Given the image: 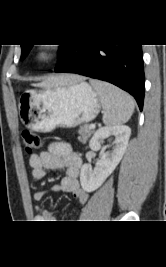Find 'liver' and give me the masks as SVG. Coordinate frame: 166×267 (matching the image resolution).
Listing matches in <instances>:
<instances>
[{
    "label": "liver",
    "instance_id": "liver-1",
    "mask_svg": "<svg viewBox=\"0 0 166 267\" xmlns=\"http://www.w3.org/2000/svg\"><path fill=\"white\" fill-rule=\"evenodd\" d=\"M83 78L77 75H59L50 77L43 82L37 84L40 87H54V86H61V85H73L82 81Z\"/></svg>",
    "mask_w": 166,
    "mask_h": 267
}]
</instances>
